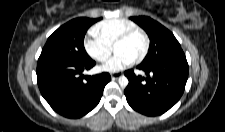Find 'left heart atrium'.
Listing matches in <instances>:
<instances>
[{
    "label": "left heart atrium",
    "mask_w": 225,
    "mask_h": 132,
    "mask_svg": "<svg viewBox=\"0 0 225 132\" xmlns=\"http://www.w3.org/2000/svg\"><path fill=\"white\" fill-rule=\"evenodd\" d=\"M132 63V60L124 53H115V55L106 62L101 69L107 72H118Z\"/></svg>",
    "instance_id": "39dd6f15"
}]
</instances>
